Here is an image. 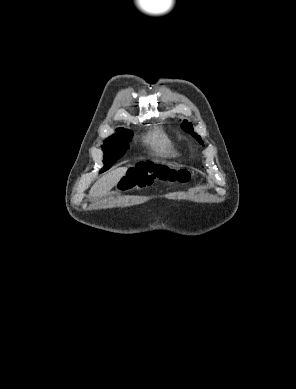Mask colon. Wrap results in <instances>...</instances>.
<instances>
[{"instance_id":"obj_1","label":"colon","mask_w":296,"mask_h":389,"mask_svg":"<svg viewBox=\"0 0 296 389\" xmlns=\"http://www.w3.org/2000/svg\"><path fill=\"white\" fill-rule=\"evenodd\" d=\"M189 174L184 170H175L152 162H141L130 168L121 182L122 190L144 188L155 181L163 183H185Z\"/></svg>"}]
</instances>
